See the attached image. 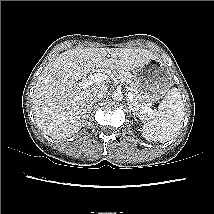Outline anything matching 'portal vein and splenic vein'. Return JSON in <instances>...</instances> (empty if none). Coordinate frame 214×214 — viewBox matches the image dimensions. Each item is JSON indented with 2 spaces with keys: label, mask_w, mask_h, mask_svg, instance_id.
<instances>
[{
  "label": "portal vein and splenic vein",
  "mask_w": 214,
  "mask_h": 214,
  "mask_svg": "<svg viewBox=\"0 0 214 214\" xmlns=\"http://www.w3.org/2000/svg\"><path fill=\"white\" fill-rule=\"evenodd\" d=\"M108 75L104 74V73H94L92 75H90L87 79L83 80L82 82H79V86L81 88H87L90 87L91 85L95 84V83H100L103 82L105 80H107ZM127 90H129L128 93V100L131 102L133 101V93L131 92L129 87H126ZM141 114H145V113H149V114H154L153 110L149 107V106H144V108L140 111Z\"/></svg>",
  "instance_id": "obj_1"
}]
</instances>
